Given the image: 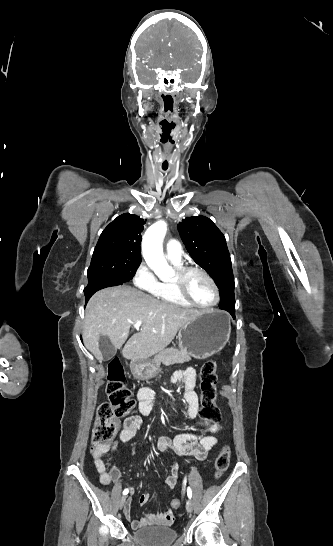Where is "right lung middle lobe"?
<instances>
[{
  "label": "right lung middle lobe",
  "instance_id": "obj_1",
  "mask_svg": "<svg viewBox=\"0 0 333 546\" xmlns=\"http://www.w3.org/2000/svg\"><path fill=\"white\" fill-rule=\"evenodd\" d=\"M139 264L131 256L112 251L93 253L87 275L92 279H108L120 282L130 281L135 275Z\"/></svg>",
  "mask_w": 333,
  "mask_h": 546
}]
</instances>
